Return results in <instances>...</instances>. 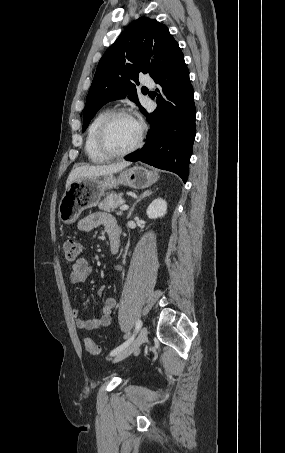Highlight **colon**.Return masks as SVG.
I'll list each match as a JSON object with an SVG mask.
<instances>
[{
    "label": "colon",
    "mask_w": 285,
    "mask_h": 453,
    "mask_svg": "<svg viewBox=\"0 0 285 453\" xmlns=\"http://www.w3.org/2000/svg\"><path fill=\"white\" fill-rule=\"evenodd\" d=\"M62 249L66 259L70 261L78 259L82 252L81 244L72 237H68L63 240ZM85 348L91 355H99L101 353L99 346L92 339L85 340Z\"/></svg>",
    "instance_id": "obj_1"
}]
</instances>
